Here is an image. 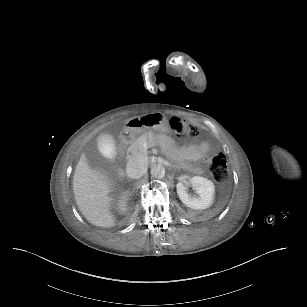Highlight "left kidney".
Returning <instances> with one entry per match:
<instances>
[{
	"label": "left kidney",
	"mask_w": 307,
	"mask_h": 307,
	"mask_svg": "<svg viewBox=\"0 0 307 307\" xmlns=\"http://www.w3.org/2000/svg\"><path fill=\"white\" fill-rule=\"evenodd\" d=\"M191 187L196 195H190L187 190ZM176 192L181 202L194 210H202L213 202L214 184L203 177H193L189 180L179 181L176 184Z\"/></svg>",
	"instance_id": "5707ae66"
}]
</instances>
